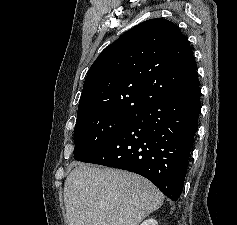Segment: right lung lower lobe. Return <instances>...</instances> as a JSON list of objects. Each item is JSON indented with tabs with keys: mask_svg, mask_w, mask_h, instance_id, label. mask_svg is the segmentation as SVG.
I'll use <instances>...</instances> for the list:
<instances>
[{
	"mask_svg": "<svg viewBox=\"0 0 237 225\" xmlns=\"http://www.w3.org/2000/svg\"><path fill=\"white\" fill-rule=\"evenodd\" d=\"M198 85L147 105L79 161L135 172L178 200L198 129Z\"/></svg>",
	"mask_w": 237,
	"mask_h": 225,
	"instance_id": "98d812e1",
	"label": "right lung lower lobe"
}]
</instances>
